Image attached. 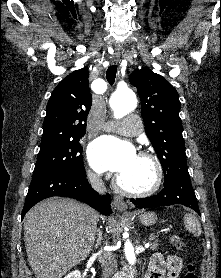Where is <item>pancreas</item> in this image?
I'll list each match as a JSON object with an SVG mask.
<instances>
[{
  "instance_id": "obj_1",
  "label": "pancreas",
  "mask_w": 221,
  "mask_h": 278,
  "mask_svg": "<svg viewBox=\"0 0 221 278\" xmlns=\"http://www.w3.org/2000/svg\"><path fill=\"white\" fill-rule=\"evenodd\" d=\"M149 240H150V249L152 250H157L158 249V246H159V240L156 236L154 235H151L149 237Z\"/></svg>"
}]
</instances>
